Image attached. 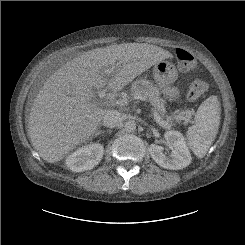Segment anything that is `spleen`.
<instances>
[{"label": "spleen", "mask_w": 245, "mask_h": 245, "mask_svg": "<svg viewBox=\"0 0 245 245\" xmlns=\"http://www.w3.org/2000/svg\"><path fill=\"white\" fill-rule=\"evenodd\" d=\"M221 106L217 97H208L195 114V123L186 133L187 143L193 153L202 158L212 145L220 125Z\"/></svg>", "instance_id": "obj_1"}]
</instances>
